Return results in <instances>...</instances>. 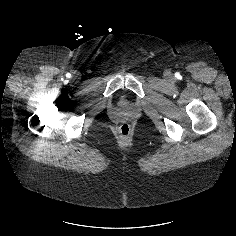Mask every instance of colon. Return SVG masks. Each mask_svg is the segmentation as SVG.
I'll list each match as a JSON object with an SVG mask.
<instances>
[{
	"label": "colon",
	"mask_w": 236,
	"mask_h": 236,
	"mask_svg": "<svg viewBox=\"0 0 236 236\" xmlns=\"http://www.w3.org/2000/svg\"><path fill=\"white\" fill-rule=\"evenodd\" d=\"M119 134L122 138L126 139L130 136L132 127L127 122H122L118 127Z\"/></svg>",
	"instance_id": "1"
}]
</instances>
